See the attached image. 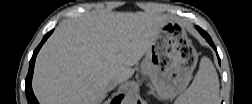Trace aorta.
<instances>
[{"label": "aorta", "mask_w": 252, "mask_h": 104, "mask_svg": "<svg viewBox=\"0 0 252 104\" xmlns=\"http://www.w3.org/2000/svg\"><path fill=\"white\" fill-rule=\"evenodd\" d=\"M136 102V99L134 96H125L124 99H123V103L124 104H134Z\"/></svg>", "instance_id": "1"}]
</instances>
